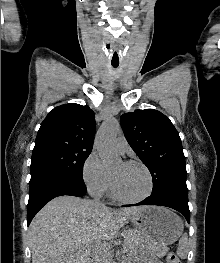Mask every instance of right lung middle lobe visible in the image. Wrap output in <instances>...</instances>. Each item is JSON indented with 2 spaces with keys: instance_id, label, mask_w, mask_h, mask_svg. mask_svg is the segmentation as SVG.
Masks as SVG:
<instances>
[{
  "instance_id": "1",
  "label": "right lung middle lobe",
  "mask_w": 220,
  "mask_h": 263,
  "mask_svg": "<svg viewBox=\"0 0 220 263\" xmlns=\"http://www.w3.org/2000/svg\"><path fill=\"white\" fill-rule=\"evenodd\" d=\"M91 150L80 148H49L33 152L31 171L48 169L83 178V165Z\"/></svg>"
}]
</instances>
